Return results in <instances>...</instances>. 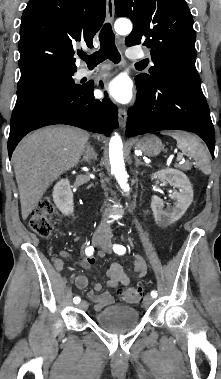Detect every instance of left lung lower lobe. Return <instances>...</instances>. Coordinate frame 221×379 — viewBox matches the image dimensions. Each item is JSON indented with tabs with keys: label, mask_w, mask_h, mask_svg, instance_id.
Here are the masks:
<instances>
[{
	"label": "left lung lower lobe",
	"mask_w": 221,
	"mask_h": 379,
	"mask_svg": "<svg viewBox=\"0 0 221 379\" xmlns=\"http://www.w3.org/2000/svg\"><path fill=\"white\" fill-rule=\"evenodd\" d=\"M137 101L128 111L126 136L169 129L199 135L214 155L215 134L200 84L155 75L147 84L137 83Z\"/></svg>",
	"instance_id": "0a47b994"
}]
</instances>
